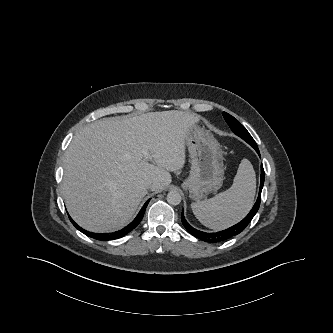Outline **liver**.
<instances>
[{
	"label": "liver",
	"mask_w": 333,
	"mask_h": 333,
	"mask_svg": "<svg viewBox=\"0 0 333 333\" xmlns=\"http://www.w3.org/2000/svg\"><path fill=\"white\" fill-rule=\"evenodd\" d=\"M199 120L171 110L83 127L64 158L62 193L72 218L96 233L124 226L147 194L148 181L154 182L152 191L163 190L172 181L169 172L183 168L186 137Z\"/></svg>",
	"instance_id": "6515ba94"
}]
</instances>
